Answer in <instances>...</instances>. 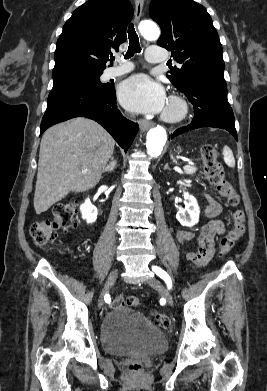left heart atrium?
<instances>
[{"mask_svg": "<svg viewBox=\"0 0 267 391\" xmlns=\"http://www.w3.org/2000/svg\"><path fill=\"white\" fill-rule=\"evenodd\" d=\"M118 97L125 108L139 113H157L165 106L163 87L144 74L123 81Z\"/></svg>", "mask_w": 267, "mask_h": 391, "instance_id": "left-heart-atrium-1", "label": "left heart atrium"}]
</instances>
